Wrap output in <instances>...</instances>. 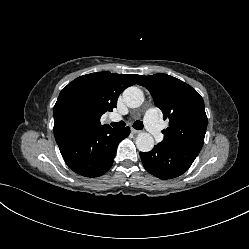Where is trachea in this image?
<instances>
[{"instance_id":"1","label":"trachea","mask_w":249,"mask_h":249,"mask_svg":"<svg viewBox=\"0 0 249 249\" xmlns=\"http://www.w3.org/2000/svg\"><path fill=\"white\" fill-rule=\"evenodd\" d=\"M111 126L113 128H122L125 126V122L124 121H120V122H112L111 123ZM133 127L136 129V130H142L143 129V123L142 121H135L134 124H133Z\"/></svg>"}]
</instances>
